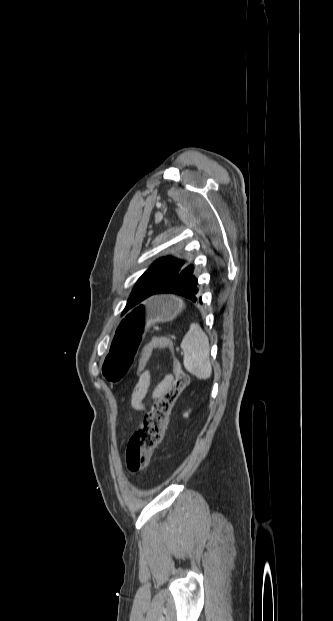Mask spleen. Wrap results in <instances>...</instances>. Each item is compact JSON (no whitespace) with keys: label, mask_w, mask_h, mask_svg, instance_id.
<instances>
[{"label":"spleen","mask_w":333,"mask_h":621,"mask_svg":"<svg viewBox=\"0 0 333 621\" xmlns=\"http://www.w3.org/2000/svg\"><path fill=\"white\" fill-rule=\"evenodd\" d=\"M180 347L184 353L185 369L199 379L210 378L212 366L209 358V339L198 324L190 326Z\"/></svg>","instance_id":"3e777b00"}]
</instances>
